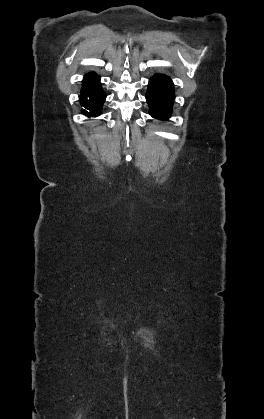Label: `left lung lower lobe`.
<instances>
[{"label":"left lung lower lobe","instance_id":"1","mask_svg":"<svg viewBox=\"0 0 264 419\" xmlns=\"http://www.w3.org/2000/svg\"><path fill=\"white\" fill-rule=\"evenodd\" d=\"M174 92L173 82L165 75L155 74L149 80L146 101L152 117L165 120L171 115Z\"/></svg>","mask_w":264,"mask_h":419}]
</instances>
